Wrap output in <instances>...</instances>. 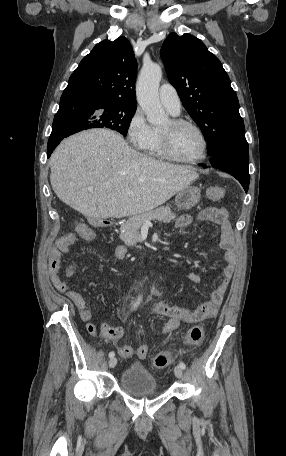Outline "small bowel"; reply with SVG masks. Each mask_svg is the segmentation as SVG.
<instances>
[{
	"mask_svg": "<svg viewBox=\"0 0 286 456\" xmlns=\"http://www.w3.org/2000/svg\"><path fill=\"white\" fill-rule=\"evenodd\" d=\"M196 218L199 221L215 222L221 226V247L225 250L224 260L227 263L223 271L224 277L212 292L210 299L195 309L170 305L163 301L156 302V313L169 318V321L163 328L164 334L171 333L176 328H178L182 322L194 323L214 317L222 303L223 297L234 274L236 265V245L228 211L223 207H208L202 209L196 215ZM193 220L194 216L183 215L177 219L176 226L178 228H186L193 222ZM81 236L88 241H91L95 238L93 231H91L90 235ZM75 239L76 236L74 234L66 235L59 239L57 246L50 251V277L54 287L58 291L63 292L76 307L80 318L83 321L88 322V333L92 336H96L98 331L96 326L93 323L89 322L92 318V314L87 307L84 297L78 291L69 289L67 284L61 279L59 275L61 255L62 253L68 252L70 250L71 246L75 242ZM113 254L116 259L125 260L128 255V250L125 246L118 245L114 248ZM188 278L193 283H199L201 281L200 276L193 272H190L188 274ZM121 317H124V314H121ZM100 333L106 341L117 343L122 338L124 330L122 327H111L105 322H102L100 325ZM118 353L123 358H130L133 356L134 350L129 345H121L118 346Z\"/></svg>",
	"mask_w": 286,
	"mask_h": 456,
	"instance_id": "c3829d8e",
	"label": "small bowel"
}]
</instances>
